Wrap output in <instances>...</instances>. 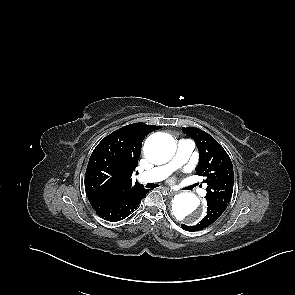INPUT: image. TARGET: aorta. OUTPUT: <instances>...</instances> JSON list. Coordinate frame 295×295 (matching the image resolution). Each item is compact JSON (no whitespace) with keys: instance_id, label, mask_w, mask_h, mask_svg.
<instances>
[{"instance_id":"762f6f07","label":"aorta","mask_w":295,"mask_h":295,"mask_svg":"<svg viewBox=\"0 0 295 295\" xmlns=\"http://www.w3.org/2000/svg\"><path fill=\"white\" fill-rule=\"evenodd\" d=\"M176 151L174 139L165 133H155L147 138L144 144L146 158L155 164L168 162ZM200 200L190 192L178 194L172 200V214L175 219L194 225L200 222L202 215L198 213Z\"/></svg>"}]
</instances>
